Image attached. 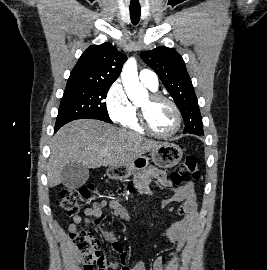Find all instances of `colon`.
<instances>
[{"label":"colon","instance_id":"5ec220e1","mask_svg":"<svg viewBox=\"0 0 267 270\" xmlns=\"http://www.w3.org/2000/svg\"><path fill=\"white\" fill-rule=\"evenodd\" d=\"M197 162V157L195 155H186L179 170L172 174V181L175 184L181 183L186 178L197 181L200 178ZM132 189V186L126 188L128 191H131ZM94 192L95 186L93 184H88L79 188L65 189L61 192L59 207L68 216H75L80 212L84 203L89 200ZM70 238L82 258L84 270H104L106 265L104 252L100 240L92 232L73 230L70 231ZM124 261L125 259L122 258L121 262L123 264ZM121 269H124V265Z\"/></svg>","mask_w":267,"mask_h":270}]
</instances>
